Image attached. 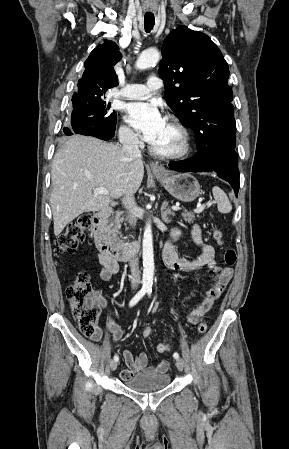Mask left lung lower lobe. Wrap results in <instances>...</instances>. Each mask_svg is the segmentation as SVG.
<instances>
[{"mask_svg":"<svg viewBox=\"0 0 289 449\" xmlns=\"http://www.w3.org/2000/svg\"><path fill=\"white\" fill-rule=\"evenodd\" d=\"M220 140L221 142L217 141L214 149L219 155L224 156L223 159L216 156L201 158L196 154L190 159L171 162L169 167L179 172H214L218 177L229 182L235 193L238 194L240 174L237 168V154L228 140Z\"/></svg>","mask_w":289,"mask_h":449,"instance_id":"left-lung-lower-lobe-1","label":"left lung lower lobe"}]
</instances>
